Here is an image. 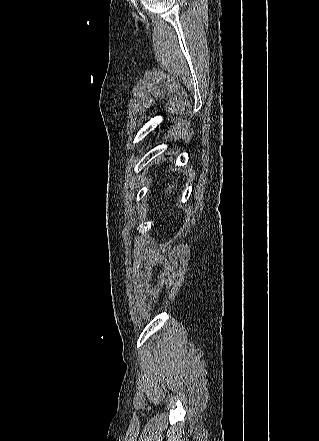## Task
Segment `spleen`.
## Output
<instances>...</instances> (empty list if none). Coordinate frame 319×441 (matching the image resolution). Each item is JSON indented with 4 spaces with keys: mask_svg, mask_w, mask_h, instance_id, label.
<instances>
[{
    "mask_svg": "<svg viewBox=\"0 0 319 441\" xmlns=\"http://www.w3.org/2000/svg\"><path fill=\"white\" fill-rule=\"evenodd\" d=\"M173 188V185L168 186V190H171Z\"/></svg>",
    "mask_w": 319,
    "mask_h": 441,
    "instance_id": "1",
    "label": "spleen"
}]
</instances>
